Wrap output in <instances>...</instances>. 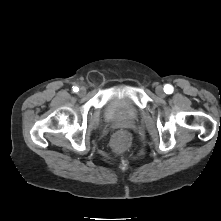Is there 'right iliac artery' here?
Returning a JSON list of instances; mask_svg holds the SVG:
<instances>
[{"instance_id":"right-iliac-artery-1","label":"right iliac artery","mask_w":221,"mask_h":221,"mask_svg":"<svg viewBox=\"0 0 221 221\" xmlns=\"http://www.w3.org/2000/svg\"><path fill=\"white\" fill-rule=\"evenodd\" d=\"M73 91H74V92H78V91H79V88H78V87H74V88H73Z\"/></svg>"}]
</instances>
